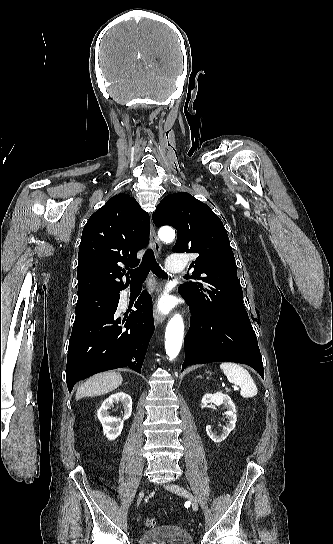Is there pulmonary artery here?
<instances>
[{
    "instance_id": "1",
    "label": "pulmonary artery",
    "mask_w": 333,
    "mask_h": 544,
    "mask_svg": "<svg viewBox=\"0 0 333 544\" xmlns=\"http://www.w3.org/2000/svg\"><path fill=\"white\" fill-rule=\"evenodd\" d=\"M167 269L170 273L178 274L185 270V262L182 256L172 255L167 260Z\"/></svg>"
}]
</instances>
